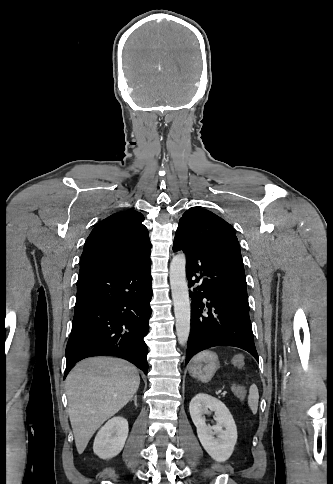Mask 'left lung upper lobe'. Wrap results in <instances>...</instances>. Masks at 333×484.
I'll use <instances>...</instances> for the list:
<instances>
[{
  "label": "left lung upper lobe",
  "instance_id": "obj_1",
  "mask_svg": "<svg viewBox=\"0 0 333 484\" xmlns=\"http://www.w3.org/2000/svg\"><path fill=\"white\" fill-rule=\"evenodd\" d=\"M186 224L196 234L228 232L235 236L233 227L216 214L199 207H192L180 218L179 225ZM178 225V226H179Z\"/></svg>",
  "mask_w": 333,
  "mask_h": 484
}]
</instances>
